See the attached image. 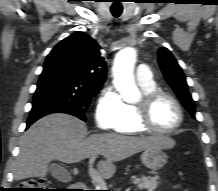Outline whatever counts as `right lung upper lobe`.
Instances as JSON below:
<instances>
[{"label": "right lung upper lobe", "instance_id": "right-lung-upper-lobe-1", "mask_svg": "<svg viewBox=\"0 0 218 191\" xmlns=\"http://www.w3.org/2000/svg\"><path fill=\"white\" fill-rule=\"evenodd\" d=\"M45 64L57 65L101 85L106 78V63L98 43L85 34L76 32L59 42L47 56Z\"/></svg>", "mask_w": 218, "mask_h": 191}]
</instances>
